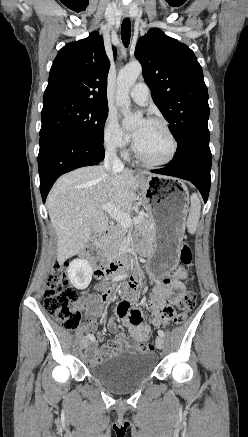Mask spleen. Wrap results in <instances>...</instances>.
Listing matches in <instances>:
<instances>
[{"label": "spleen", "instance_id": "3e777b00", "mask_svg": "<svg viewBox=\"0 0 248 437\" xmlns=\"http://www.w3.org/2000/svg\"><path fill=\"white\" fill-rule=\"evenodd\" d=\"M200 210V200L197 194H192L190 212L186 222L188 232L191 234H194L196 232L198 221L200 218Z\"/></svg>", "mask_w": 248, "mask_h": 437}]
</instances>
